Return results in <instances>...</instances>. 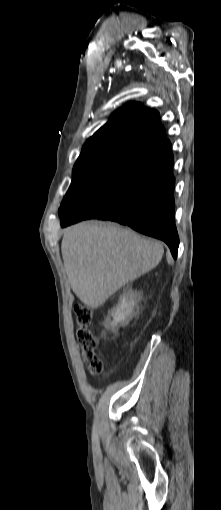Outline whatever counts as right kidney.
<instances>
[{"label":"right kidney","instance_id":"obj_1","mask_svg":"<svg viewBox=\"0 0 221 510\" xmlns=\"http://www.w3.org/2000/svg\"><path fill=\"white\" fill-rule=\"evenodd\" d=\"M136 294L132 291L125 293L121 298L116 307L111 311L113 321L111 325L114 327L118 323L124 322L129 318L136 306Z\"/></svg>","mask_w":221,"mask_h":510}]
</instances>
